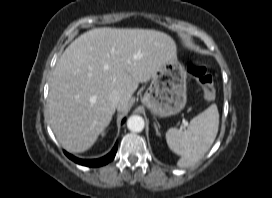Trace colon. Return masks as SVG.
<instances>
[{"mask_svg": "<svg viewBox=\"0 0 272 198\" xmlns=\"http://www.w3.org/2000/svg\"><path fill=\"white\" fill-rule=\"evenodd\" d=\"M188 71L199 84L203 98L212 101L215 98V88L211 73L200 63L190 64Z\"/></svg>", "mask_w": 272, "mask_h": 198, "instance_id": "5ec220e1", "label": "colon"}]
</instances>
